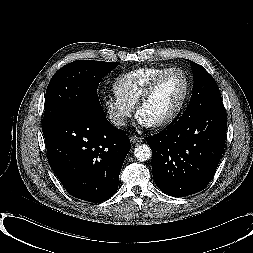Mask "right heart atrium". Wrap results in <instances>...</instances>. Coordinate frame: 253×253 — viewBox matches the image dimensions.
<instances>
[{"mask_svg":"<svg viewBox=\"0 0 253 253\" xmlns=\"http://www.w3.org/2000/svg\"><path fill=\"white\" fill-rule=\"evenodd\" d=\"M104 106L110 120L118 127H124L134 111V106L116 94L106 97Z\"/></svg>","mask_w":253,"mask_h":253,"instance_id":"d8ad5b80","label":"right heart atrium"}]
</instances>
